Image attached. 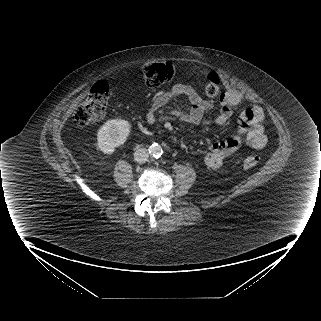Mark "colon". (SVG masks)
Wrapping results in <instances>:
<instances>
[{
	"instance_id": "1",
	"label": "colon",
	"mask_w": 321,
	"mask_h": 321,
	"mask_svg": "<svg viewBox=\"0 0 321 321\" xmlns=\"http://www.w3.org/2000/svg\"><path fill=\"white\" fill-rule=\"evenodd\" d=\"M145 82L150 86H158L170 81L175 73L171 63H153L144 66L141 70ZM204 91L209 97H216L221 92L220 78L215 72L205 76ZM110 88L107 82H96L87 96L75 110L73 121L76 126L84 127L90 123L99 121L104 114ZM259 164L257 155H246L242 160L244 169L255 168Z\"/></svg>"
}]
</instances>
